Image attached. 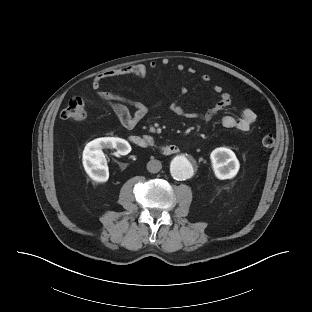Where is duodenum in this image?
Masks as SVG:
<instances>
[{"label":"duodenum","mask_w":312,"mask_h":312,"mask_svg":"<svg viewBox=\"0 0 312 312\" xmlns=\"http://www.w3.org/2000/svg\"><path fill=\"white\" fill-rule=\"evenodd\" d=\"M131 144L144 149H155L157 148L161 153L165 155H172L179 152L180 147L176 144H167L156 146L153 140L147 136L132 135L129 137Z\"/></svg>","instance_id":"1"}]
</instances>
